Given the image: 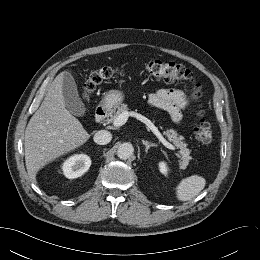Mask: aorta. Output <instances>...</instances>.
<instances>
[{"label":"aorta","instance_id":"1","mask_svg":"<svg viewBox=\"0 0 260 260\" xmlns=\"http://www.w3.org/2000/svg\"><path fill=\"white\" fill-rule=\"evenodd\" d=\"M134 152V148L133 145L130 143H122L117 150V156L122 159V160H126L128 159L130 156L133 155Z\"/></svg>","mask_w":260,"mask_h":260}]
</instances>
